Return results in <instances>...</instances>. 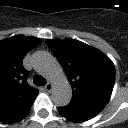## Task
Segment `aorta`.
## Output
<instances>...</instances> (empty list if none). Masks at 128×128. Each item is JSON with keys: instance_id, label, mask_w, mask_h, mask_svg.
<instances>
[{"instance_id": "1", "label": "aorta", "mask_w": 128, "mask_h": 128, "mask_svg": "<svg viewBox=\"0 0 128 128\" xmlns=\"http://www.w3.org/2000/svg\"><path fill=\"white\" fill-rule=\"evenodd\" d=\"M34 67L46 75L54 85L53 101L57 106H66L72 98V89L57 60L48 52L38 51L32 58Z\"/></svg>"}]
</instances>
